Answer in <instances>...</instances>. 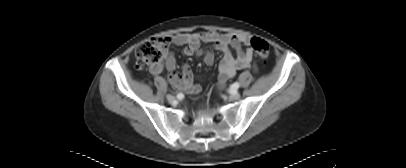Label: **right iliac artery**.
Segmentation results:
<instances>
[{"instance_id": "82829eb1", "label": "right iliac artery", "mask_w": 406, "mask_h": 168, "mask_svg": "<svg viewBox=\"0 0 406 168\" xmlns=\"http://www.w3.org/2000/svg\"><path fill=\"white\" fill-rule=\"evenodd\" d=\"M182 94H178L177 97L181 96Z\"/></svg>"}]
</instances>
